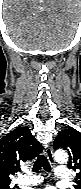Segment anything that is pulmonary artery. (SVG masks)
<instances>
[{
  "label": "pulmonary artery",
  "instance_id": "pulmonary-artery-1",
  "mask_svg": "<svg viewBox=\"0 0 81 189\" xmlns=\"http://www.w3.org/2000/svg\"><path fill=\"white\" fill-rule=\"evenodd\" d=\"M55 176L60 181H65L69 179L70 173H69L68 168L57 166L55 168ZM42 181H43L42 176L29 174V175H24V176L19 177L17 180V183L21 186L29 188L30 186H35V185L40 184Z\"/></svg>",
  "mask_w": 81,
  "mask_h": 189
}]
</instances>
